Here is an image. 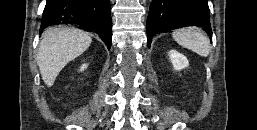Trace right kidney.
<instances>
[{
    "instance_id": "ca27d5eb",
    "label": "right kidney",
    "mask_w": 257,
    "mask_h": 130,
    "mask_svg": "<svg viewBox=\"0 0 257 130\" xmlns=\"http://www.w3.org/2000/svg\"><path fill=\"white\" fill-rule=\"evenodd\" d=\"M87 66H88L87 64H83V65L81 66L80 70L83 71L84 69L87 68Z\"/></svg>"
}]
</instances>
